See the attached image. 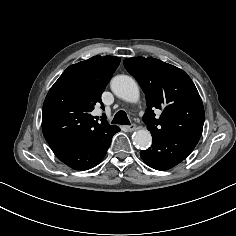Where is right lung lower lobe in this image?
Returning <instances> with one entry per match:
<instances>
[{
  "label": "right lung lower lobe",
  "instance_id": "1",
  "mask_svg": "<svg viewBox=\"0 0 236 236\" xmlns=\"http://www.w3.org/2000/svg\"><path fill=\"white\" fill-rule=\"evenodd\" d=\"M119 131V127L113 126L93 138L57 140L48 143L55 155L67 166L76 170H87L102 161L113 135Z\"/></svg>",
  "mask_w": 236,
  "mask_h": 236
}]
</instances>
